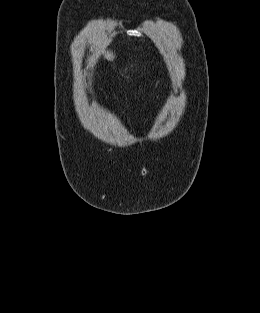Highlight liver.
I'll list each match as a JSON object with an SVG mask.
<instances>
[{
	"instance_id": "obj_1",
	"label": "liver",
	"mask_w": 260,
	"mask_h": 313,
	"mask_svg": "<svg viewBox=\"0 0 260 313\" xmlns=\"http://www.w3.org/2000/svg\"><path fill=\"white\" fill-rule=\"evenodd\" d=\"M105 58H106L108 61H112V60L115 58V56L113 55L112 52H106V53H105Z\"/></svg>"
}]
</instances>
